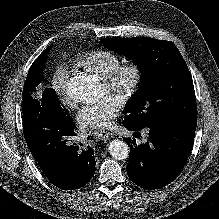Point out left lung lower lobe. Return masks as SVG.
Returning a JSON list of instances; mask_svg holds the SVG:
<instances>
[{"mask_svg": "<svg viewBox=\"0 0 219 219\" xmlns=\"http://www.w3.org/2000/svg\"><path fill=\"white\" fill-rule=\"evenodd\" d=\"M123 125L130 131L141 130L126 121ZM196 125L197 119H185L165 126L147 127L149 141L138 146L135 140L125 139L131 148L126 167L130 180L148 190L171 183L191 154Z\"/></svg>", "mask_w": 219, "mask_h": 219, "instance_id": "obj_1", "label": "left lung lower lobe"}]
</instances>
